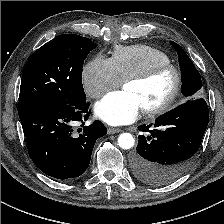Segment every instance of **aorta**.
<instances>
[{"label":"aorta","mask_w":224,"mask_h":224,"mask_svg":"<svg viewBox=\"0 0 224 224\" xmlns=\"http://www.w3.org/2000/svg\"><path fill=\"white\" fill-rule=\"evenodd\" d=\"M134 143V137L130 133H122L118 137V144L122 149H130Z\"/></svg>","instance_id":"762f6f07"}]
</instances>
